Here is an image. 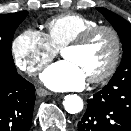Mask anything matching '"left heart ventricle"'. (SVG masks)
I'll use <instances>...</instances> for the list:
<instances>
[{"instance_id": "1", "label": "left heart ventricle", "mask_w": 131, "mask_h": 131, "mask_svg": "<svg viewBox=\"0 0 131 131\" xmlns=\"http://www.w3.org/2000/svg\"><path fill=\"white\" fill-rule=\"evenodd\" d=\"M114 51V42L108 32H99L81 48L67 49L62 55L71 60L84 72L86 78L102 73L109 65Z\"/></svg>"}]
</instances>
